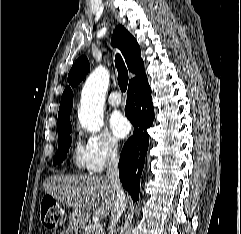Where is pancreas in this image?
<instances>
[{"mask_svg":"<svg viewBox=\"0 0 241 234\" xmlns=\"http://www.w3.org/2000/svg\"><path fill=\"white\" fill-rule=\"evenodd\" d=\"M82 234H102V232L94 229V225L90 223L82 228Z\"/></svg>","mask_w":241,"mask_h":234,"instance_id":"cf45deb5","label":"pancreas"}]
</instances>
